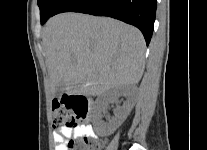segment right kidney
<instances>
[{
	"label": "right kidney",
	"instance_id": "right-kidney-1",
	"mask_svg": "<svg viewBox=\"0 0 207 150\" xmlns=\"http://www.w3.org/2000/svg\"><path fill=\"white\" fill-rule=\"evenodd\" d=\"M131 95L130 88L126 86H120L105 92L100 95L96 102L94 108V116L97 120H100L102 117V112L105 111L107 104L118 102L119 97L124 96L129 98ZM132 109V105L129 101L123 104V106H117L114 109V117L106 124L105 129L107 134H112L117 128L121 126L124 120L129 115Z\"/></svg>",
	"mask_w": 207,
	"mask_h": 150
}]
</instances>
